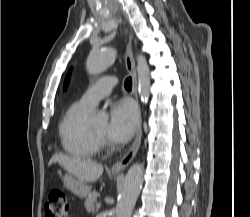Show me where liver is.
<instances>
[{
	"mask_svg": "<svg viewBox=\"0 0 250 217\" xmlns=\"http://www.w3.org/2000/svg\"><path fill=\"white\" fill-rule=\"evenodd\" d=\"M54 163H58L66 171L84 183L96 182L103 173V166L89 159L69 157L56 153L51 157L49 165Z\"/></svg>",
	"mask_w": 250,
	"mask_h": 217,
	"instance_id": "1",
	"label": "liver"
}]
</instances>
